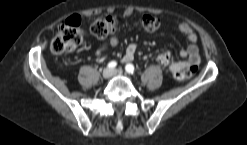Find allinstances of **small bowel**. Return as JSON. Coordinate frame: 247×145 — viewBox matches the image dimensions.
Here are the masks:
<instances>
[{"instance_id": "small-bowel-1", "label": "small bowel", "mask_w": 247, "mask_h": 145, "mask_svg": "<svg viewBox=\"0 0 247 145\" xmlns=\"http://www.w3.org/2000/svg\"><path fill=\"white\" fill-rule=\"evenodd\" d=\"M178 28H179V31L183 35H185V37L189 41V45L180 51V56L185 58V59L181 60V61H174L171 59V57L168 53H164V54H167L169 56L170 63L168 65H164V64H161L159 62L163 66H168L169 70L173 74L177 71L185 72L191 68L197 69V67L200 63L199 50H198V47L196 45L197 35L194 33L193 29L187 23H184V22L180 23ZM118 43H119L118 38L115 36H112L109 38L107 44H103L97 49L96 54L98 56H101L107 46L115 47L118 45ZM136 52H137V45L135 43H130L126 47L125 53L122 57V62L128 63V62L132 61L136 55ZM161 55H159V57ZM158 61H159V59H158Z\"/></svg>"}]
</instances>
